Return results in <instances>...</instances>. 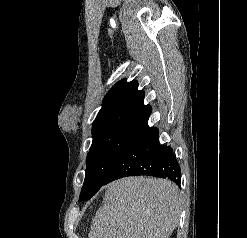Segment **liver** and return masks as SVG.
I'll list each match as a JSON object with an SVG mask.
<instances>
[{
  "mask_svg": "<svg viewBox=\"0 0 247 238\" xmlns=\"http://www.w3.org/2000/svg\"><path fill=\"white\" fill-rule=\"evenodd\" d=\"M182 199L167 179L127 177L107 185L89 238H169L179 224Z\"/></svg>",
  "mask_w": 247,
  "mask_h": 238,
  "instance_id": "6515ba94",
  "label": "liver"
}]
</instances>
